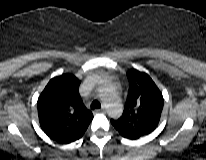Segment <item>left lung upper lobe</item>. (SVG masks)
Segmentation results:
<instances>
[{
  "instance_id": "1",
  "label": "left lung upper lobe",
  "mask_w": 206,
  "mask_h": 160,
  "mask_svg": "<svg viewBox=\"0 0 206 160\" xmlns=\"http://www.w3.org/2000/svg\"><path fill=\"white\" fill-rule=\"evenodd\" d=\"M127 77L130 86L123 114L111 123L123 137L138 139L157 127L163 96L146 73L132 69L127 72Z\"/></svg>"
}]
</instances>
